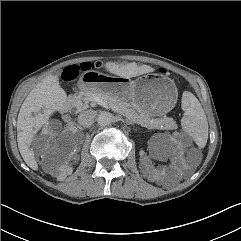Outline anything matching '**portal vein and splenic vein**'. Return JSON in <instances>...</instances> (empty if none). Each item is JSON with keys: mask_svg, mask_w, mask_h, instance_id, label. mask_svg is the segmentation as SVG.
I'll return each mask as SVG.
<instances>
[{"mask_svg": "<svg viewBox=\"0 0 241 241\" xmlns=\"http://www.w3.org/2000/svg\"><path fill=\"white\" fill-rule=\"evenodd\" d=\"M98 102H101L102 104H105V102H103L102 100L98 99Z\"/></svg>", "mask_w": 241, "mask_h": 241, "instance_id": "portal-vein-and-splenic-vein-1", "label": "portal vein and splenic vein"}]
</instances>
